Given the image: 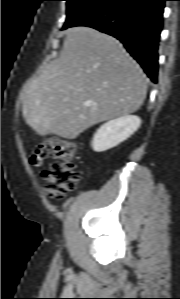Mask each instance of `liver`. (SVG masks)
Listing matches in <instances>:
<instances>
[{
  "instance_id": "liver-1",
  "label": "liver",
  "mask_w": 180,
  "mask_h": 299,
  "mask_svg": "<svg viewBox=\"0 0 180 299\" xmlns=\"http://www.w3.org/2000/svg\"><path fill=\"white\" fill-rule=\"evenodd\" d=\"M146 93L142 69L118 40L74 27L60 56L26 86L22 113L40 136L75 139L97 123L134 113Z\"/></svg>"
}]
</instances>
